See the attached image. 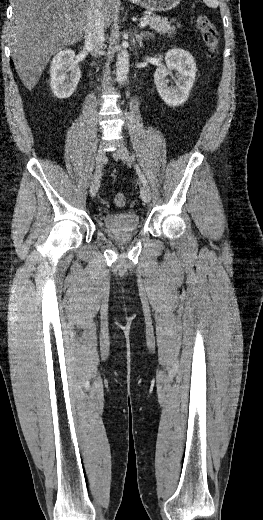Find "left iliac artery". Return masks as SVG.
Segmentation results:
<instances>
[{
  "instance_id": "1",
  "label": "left iliac artery",
  "mask_w": 263,
  "mask_h": 520,
  "mask_svg": "<svg viewBox=\"0 0 263 520\" xmlns=\"http://www.w3.org/2000/svg\"><path fill=\"white\" fill-rule=\"evenodd\" d=\"M132 160H134V157H132ZM134 166H135V169H136V172H137V174L139 176L140 181L142 182V184L144 186H147L148 182H147L143 172L141 171V169L139 168V166L137 164H135Z\"/></svg>"
}]
</instances>
